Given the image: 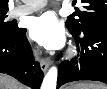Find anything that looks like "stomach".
<instances>
[{"instance_id":"obj_1","label":"stomach","mask_w":107,"mask_h":89,"mask_svg":"<svg viewBox=\"0 0 107 89\" xmlns=\"http://www.w3.org/2000/svg\"><path fill=\"white\" fill-rule=\"evenodd\" d=\"M66 89H81V88L79 87V85H71L67 87Z\"/></svg>"}]
</instances>
